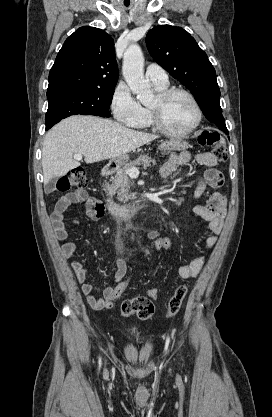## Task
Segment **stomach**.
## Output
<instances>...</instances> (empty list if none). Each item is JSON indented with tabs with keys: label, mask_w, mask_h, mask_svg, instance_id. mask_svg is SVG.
<instances>
[{
	"label": "stomach",
	"mask_w": 272,
	"mask_h": 417,
	"mask_svg": "<svg viewBox=\"0 0 272 417\" xmlns=\"http://www.w3.org/2000/svg\"><path fill=\"white\" fill-rule=\"evenodd\" d=\"M188 147V144L185 141L174 139L164 141L159 145V150L162 153L166 154L173 150H185ZM129 160V156L127 154L122 155L120 157L114 158L111 160L110 165H113L116 168H120L124 166L127 161Z\"/></svg>",
	"instance_id": "stomach-1"
}]
</instances>
